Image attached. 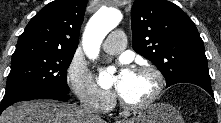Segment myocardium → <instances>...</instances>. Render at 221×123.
Returning a JSON list of instances; mask_svg holds the SVG:
<instances>
[{
    "label": "myocardium",
    "mask_w": 221,
    "mask_h": 123,
    "mask_svg": "<svg viewBox=\"0 0 221 123\" xmlns=\"http://www.w3.org/2000/svg\"><path fill=\"white\" fill-rule=\"evenodd\" d=\"M133 71L146 72L150 74L155 80V90L147 100L136 104L127 102L118 92H116V98L120 106L128 111L143 110L156 103L160 99L165 86V80L162 73L150 64H139L134 67Z\"/></svg>",
    "instance_id": "myocardium-1"
}]
</instances>
